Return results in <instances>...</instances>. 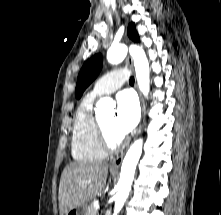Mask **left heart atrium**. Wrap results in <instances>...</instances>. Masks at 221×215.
I'll return each instance as SVG.
<instances>
[{
    "label": "left heart atrium",
    "mask_w": 221,
    "mask_h": 215,
    "mask_svg": "<svg viewBox=\"0 0 221 215\" xmlns=\"http://www.w3.org/2000/svg\"><path fill=\"white\" fill-rule=\"evenodd\" d=\"M140 111L135 95L130 91H122L117 96V109L112 127L119 138L130 133L139 121Z\"/></svg>",
    "instance_id": "39dd6f15"
}]
</instances>
